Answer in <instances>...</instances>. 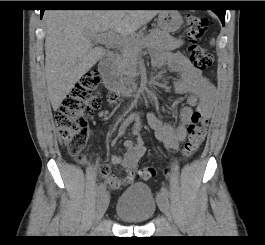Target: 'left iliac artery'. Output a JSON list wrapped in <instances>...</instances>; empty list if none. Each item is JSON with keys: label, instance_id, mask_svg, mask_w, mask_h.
Here are the masks:
<instances>
[{"label": "left iliac artery", "instance_id": "obj_1", "mask_svg": "<svg viewBox=\"0 0 265 245\" xmlns=\"http://www.w3.org/2000/svg\"><path fill=\"white\" fill-rule=\"evenodd\" d=\"M161 193H162V194H165V195H167V196L169 195V191H168V189H167L166 187H162V188H161ZM158 196H159V194H158Z\"/></svg>", "mask_w": 265, "mask_h": 245}]
</instances>
